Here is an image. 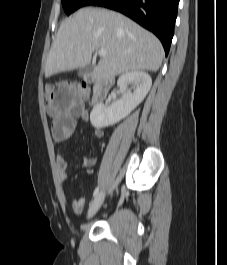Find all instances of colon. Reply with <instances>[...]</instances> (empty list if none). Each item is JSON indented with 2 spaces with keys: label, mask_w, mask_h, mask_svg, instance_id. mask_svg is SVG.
Instances as JSON below:
<instances>
[{
  "label": "colon",
  "mask_w": 227,
  "mask_h": 265,
  "mask_svg": "<svg viewBox=\"0 0 227 265\" xmlns=\"http://www.w3.org/2000/svg\"><path fill=\"white\" fill-rule=\"evenodd\" d=\"M57 87H78V91H83V99L89 97V90L84 85L79 84H62L55 86L54 84H46L43 88L44 97L47 102H50L51 97L53 96V91H57Z\"/></svg>",
  "instance_id": "obj_1"
}]
</instances>
